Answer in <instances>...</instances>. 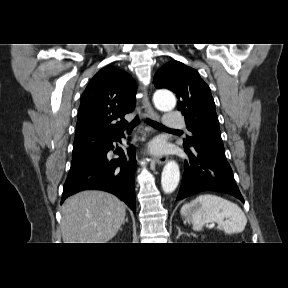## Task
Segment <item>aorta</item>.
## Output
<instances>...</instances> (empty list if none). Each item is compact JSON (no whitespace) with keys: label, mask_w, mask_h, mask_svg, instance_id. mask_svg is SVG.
I'll use <instances>...</instances> for the list:
<instances>
[{"label":"aorta","mask_w":288,"mask_h":288,"mask_svg":"<svg viewBox=\"0 0 288 288\" xmlns=\"http://www.w3.org/2000/svg\"><path fill=\"white\" fill-rule=\"evenodd\" d=\"M154 104L161 111H171L176 105V99L171 92L158 91L154 94ZM180 180L179 166L175 161H169L163 168L161 185L165 193H172Z\"/></svg>","instance_id":"762f6f07"}]
</instances>
